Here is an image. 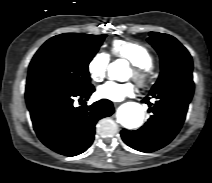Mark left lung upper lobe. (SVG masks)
I'll list each match as a JSON object with an SVG mask.
<instances>
[{
	"label": "left lung upper lobe",
	"instance_id": "obj_1",
	"mask_svg": "<svg viewBox=\"0 0 212 183\" xmlns=\"http://www.w3.org/2000/svg\"><path fill=\"white\" fill-rule=\"evenodd\" d=\"M147 40L158 52L161 61V73L152 89L176 77L192 74V57L176 38L168 34L150 32Z\"/></svg>",
	"mask_w": 212,
	"mask_h": 183
}]
</instances>
